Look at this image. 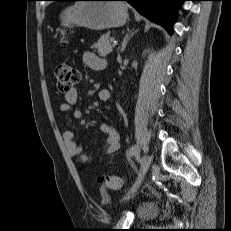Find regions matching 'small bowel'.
Wrapping results in <instances>:
<instances>
[{
  "instance_id": "small-bowel-1",
  "label": "small bowel",
  "mask_w": 231,
  "mask_h": 231,
  "mask_svg": "<svg viewBox=\"0 0 231 231\" xmlns=\"http://www.w3.org/2000/svg\"><path fill=\"white\" fill-rule=\"evenodd\" d=\"M84 64L93 70H103L106 67V62L103 58L97 56L92 52H86L83 55ZM98 98L101 102H107L110 99V92L106 89L100 90ZM65 101L59 105V111L67 113L72 111L75 120H81L84 117L81 109H72L73 105L78 101V91L72 88L70 91L64 93ZM101 131L105 134V153L113 154L119 151L121 147V135L118 129L108 123H103L100 126ZM62 138L65 143L68 153L81 163H90L92 159L82 153L81 147L75 140V133L73 130H65L62 133Z\"/></svg>"
}]
</instances>
